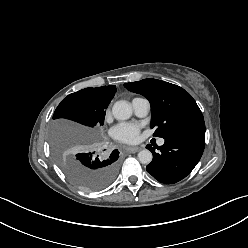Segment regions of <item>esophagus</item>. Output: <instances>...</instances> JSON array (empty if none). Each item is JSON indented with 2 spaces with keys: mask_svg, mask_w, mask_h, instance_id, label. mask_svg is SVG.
I'll use <instances>...</instances> for the list:
<instances>
[{
  "mask_svg": "<svg viewBox=\"0 0 248 248\" xmlns=\"http://www.w3.org/2000/svg\"><path fill=\"white\" fill-rule=\"evenodd\" d=\"M141 148L140 147H127L126 150L129 152V153H136L140 150Z\"/></svg>",
  "mask_w": 248,
  "mask_h": 248,
  "instance_id": "esophagus-1",
  "label": "esophagus"
}]
</instances>
